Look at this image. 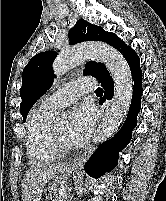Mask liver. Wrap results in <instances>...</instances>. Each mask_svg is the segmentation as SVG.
<instances>
[{"instance_id":"1","label":"liver","mask_w":166,"mask_h":201,"mask_svg":"<svg viewBox=\"0 0 166 201\" xmlns=\"http://www.w3.org/2000/svg\"><path fill=\"white\" fill-rule=\"evenodd\" d=\"M68 164L38 165L26 171L22 181V201H40L42 192L49 181Z\"/></svg>"}]
</instances>
